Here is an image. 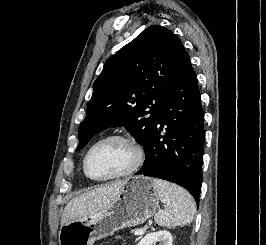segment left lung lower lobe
<instances>
[{
	"label": "left lung lower lobe",
	"instance_id": "1",
	"mask_svg": "<svg viewBox=\"0 0 266 245\" xmlns=\"http://www.w3.org/2000/svg\"><path fill=\"white\" fill-rule=\"evenodd\" d=\"M204 141V112L189 59L159 108L144 164L135 174L176 183L199 203Z\"/></svg>",
	"mask_w": 266,
	"mask_h": 245
}]
</instances>
